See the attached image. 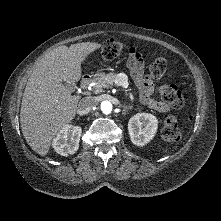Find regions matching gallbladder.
Returning <instances> with one entry per match:
<instances>
[{
	"label": "gallbladder",
	"mask_w": 221,
	"mask_h": 221,
	"mask_svg": "<svg viewBox=\"0 0 221 221\" xmlns=\"http://www.w3.org/2000/svg\"><path fill=\"white\" fill-rule=\"evenodd\" d=\"M63 84L66 88H68L71 91H73L75 89V85L72 83L64 82Z\"/></svg>",
	"instance_id": "gallbladder-1"
}]
</instances>
